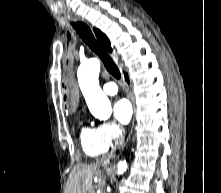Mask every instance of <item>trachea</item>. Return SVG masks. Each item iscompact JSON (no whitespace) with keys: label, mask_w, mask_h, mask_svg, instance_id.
Returning a JSON list of instances; mask_svg holds the SVG:
<instances>
[{"label":"trachea","mask_w":221,"mask_h":193,"mask_svg":"<svg viewBox=\"0 0 221 193\" xmlns=\"http://www.w3.org/2000/svg\"><path fill=\"white\" fill-rule=\"evenodd\" d=\"M72 26L76 30L79 37L89 46V48L93 52H95L99 56L107 71L112 74L116 79H120L121 73L117 65L94 38L90 28L83 22H72Z\"/></svg>","instance_id":"obj_1"}]
</instances>
